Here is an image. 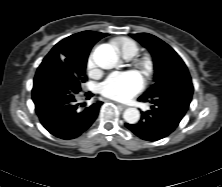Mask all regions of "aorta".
<instances>
[{"mask_svg": "<svg viewBox=\"0 0 222 187\" xmlns=\"http://www.w3.org/2000/svg\"><path fill=\"white\" fill-rule=\"evenodd\" d=\"M93 59L102 69H110L118 62L117 49L110 44H101L94 50ZM124 120L129 124H136L140 119V112L136 108H127L123 113Z\"/></svg>", "mask_w": 222, "mask_h": 187, "instance_id": "obj_1", "label": "aorta"}]
</instances>
